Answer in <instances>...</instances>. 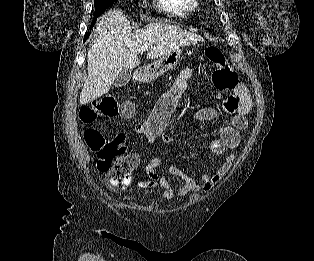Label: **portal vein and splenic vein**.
<instances>
[{
  "label": "portal vein and splenic vein",
  "instance_id": "obj_1",
  "mask_svg": "<svg viewBox=\"0 0 314 261\" xmlns=\"http://www.w3.org/2000/svg\"><path fill=\"white\" fill-rule=\"evenodd\" d=\"M148 49H149L148 45H143L140 50L141 51H145V50H148Z\"/></svg>",
  "mask_w": 314,
  "mask_h": 261
}]
</instances>
